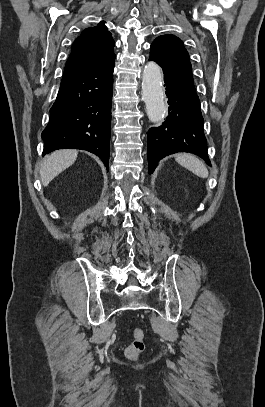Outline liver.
Here are the masks:
<instances>
[{"label": "liver", "instance_id": "liver-1", "mask_svg": "<svg viewBox=\"0 0 265 407\" xmlns=\"http://www.w3.org/2000/svg\"><path fill=\"white\" fill-rule=\"evenodd\" d=\"M77 155L76 150L62 149L46 156L40 169L43 186H47L62 171L70 167L75 162Z\"/></svg>", "mask_w": 265, "mask_h": 407}]
</instances>
